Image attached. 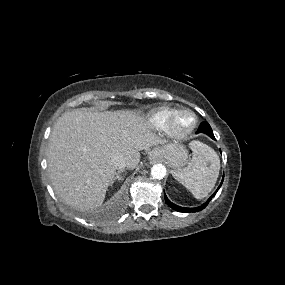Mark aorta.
Returning a JSON list of instances; mask_svg holds the SVG:
<instances>
[{
	"mask_svg": "<svg viewBox=\"0 0 285 285\" xmlns=\"http://www.w3.org/2000/svg\"><path fill=\"white\" fill-rule=\"evenodd\" d=\"M166 175V167L162 164H155L151 169V176L154 179H163Z\"/></svg>",
	"mask_w": 285,
	"mask_h": 285,
	"instance_id": "1",
	"label": "aorta"
}]
</instances>
